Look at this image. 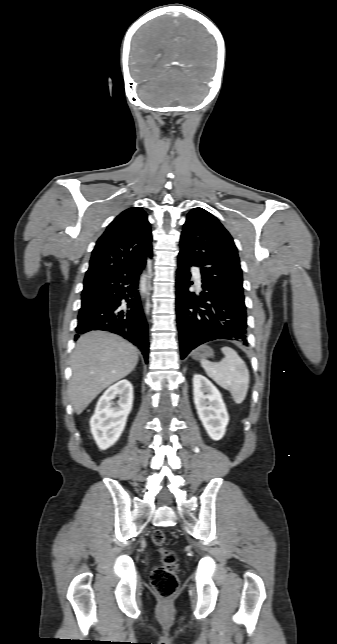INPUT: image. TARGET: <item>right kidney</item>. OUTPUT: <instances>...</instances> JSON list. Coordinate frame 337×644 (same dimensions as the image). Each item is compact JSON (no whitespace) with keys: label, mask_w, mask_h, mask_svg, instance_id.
<instances>
[{"label":"right kidney","mask_w":337,"mask_h":644,"mask_svg":"<svg viewBox=\"0 0 337 644\" xmlns=\"http://www.w3.org/2000/svg\"><path fill=\"white\" fill-rule=\"evenodd\" d=\"M119 397L115 403L113 400ZM133 387L128 380H121L109 387L97 402L90 419L91 433L96 444L105 450L119 439L132 409Z\"/></svg>","instance_id":"obj_1"}]
</instances>
